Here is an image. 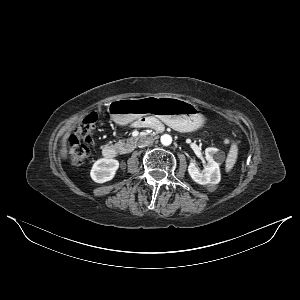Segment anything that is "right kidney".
Returning a JSON list of instances; mask_svg holds the SVG:
<instances>
[{
	"label": "right kidney",
	"instance_id": "right-kidney-1",
	"mask_svg": "<svg viewBox=\"0 0 300 300\" xmlns=\"http://www.w3.org/2000/svg\"><path fill=\"white\" fill-rule=\"evenodd\" d=\"M118 168V160L101 158L93 164L90 176L94 182L104 183L113 179Z\"/></svg>",
	"mask_w": 300,
	"mask_h": 300
}]
</instances>
